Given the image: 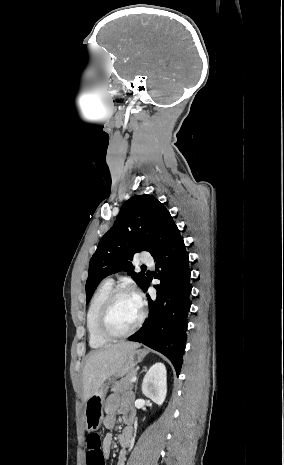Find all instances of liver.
Instances as JSON below:
<instances>
[{"label":"liver","instance_id":"obj_1","mask_svg":"<svg viewBox=\"0 0 284 465\" xmlns=\"http://www.w3.org/2000/svg\"><path fill=\"white\" fill-rule=\"evenodd\" d=\"M138 343H118L102 351L90 353L83 369V401H88L91 395L109 377L115 375L123 367L126 357L133 349H138Z\"/></svg>","mask_w":284,"mask_h":465}]
</instances>
